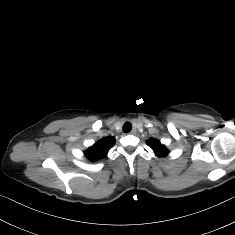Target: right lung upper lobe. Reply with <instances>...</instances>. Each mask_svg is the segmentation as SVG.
<instances>
[{
  "instance_id": "cb5924a9",
  "label": "right lung upper lobe",
  "mask_w": 235,
  "mask_h": 235,
  "mask_svg": "<svg viewBox=\"0 0 235 235\" xmlns=\"http://www.w3.org/2000/svg\"><path fill=\"white\" fill-rule=\"evenodd\" d=\"M114 137H104L96 142L92 147L84 152L85 156L91 161H97L104 158L110 148L114 145Z\"/></svg>"
}]
</instances>
